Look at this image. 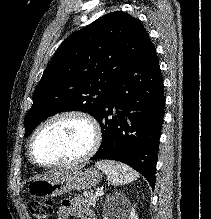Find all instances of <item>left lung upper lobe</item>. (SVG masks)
Instances as JSON below:
<instances>
[{"label": "left lung upper lobe", "instance_id": "left-lung-upper-lobe-1", "mask_svg": "<svg viewBox=\"0 0 211 219\" xmlns=\"http://www.w3.org/2000/svg\"><path fill=\"white\" fill-rule=\"evenodd\" d=\"M148 39L142 23L122 11L106 14L70 35L34 91L25 136L58 112L84 111L97 118L109 90Z\"/></svg>", "mask_w": 211, "mask_h": 219}]
</instances>
